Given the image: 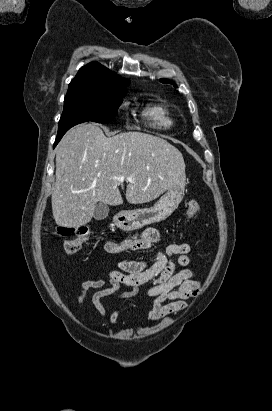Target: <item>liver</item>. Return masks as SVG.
<instances>
[{
    "mask_svg": "<svg viewBox=\"0 0 272 411\" xmlns=\"http://www.w3.org/2000/svg\"><path fill=\"white\" fill-rule=\"evenodd\" d=\"M56 182L52 212L58 226L87 224L97 202L121 205L119 191L125 176L130 204L151 202L171 185H185V163L181 152L166 140L141 132L106 137L96 124L70 129L56 149Z\"/></svg>",
    "mask_w": 272,
    "mask_h": 411,
    "instance_id": "1",
    "label": "liver"
}]
</instances>
